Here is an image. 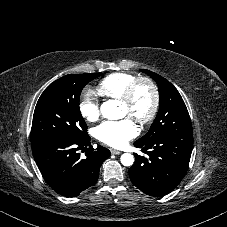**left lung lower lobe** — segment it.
Segmentation results:
<instances>
[{
	"instance_id": "obj_1",
	"label": "left lung lower lobe",
	"mask_w": 227,
	"mask_h": 227,
	"mask_svg": "<svg viewBox=\"0 0 227 227\" xmlns=\"http://www.w3.org/2000/svg\"><path fill=\"white\" fill-rule=\"evenodd\" d=\"M145 155L134 153L129 169L132 183L150 196L173 191L185 176L193 149V134L164 137L152 142L135 141Z\"/></svg>"
}]
</instances>
